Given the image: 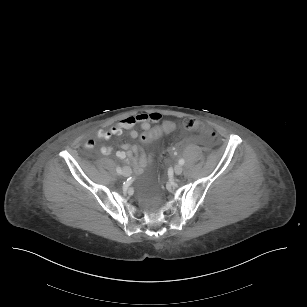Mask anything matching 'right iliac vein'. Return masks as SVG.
I'll list each match as a JSON object with an SVG mask.
<instances>
[{"instance_id":"63e3f726","label":"right iliac vein","mask_w":307,"mask_h":307,"mask_svg":"<svg viewBox=\"0 0 307 307\" xmlns=\"http://www.w3.org/2000/svg\"><path fill=\"white\" fill-rule=\"evenodd\" d=\"M123 175H124L125 177L130 176V175H131V169H130L129 167H125V168L123 169Z\"/></svg>"}]
</instances>
